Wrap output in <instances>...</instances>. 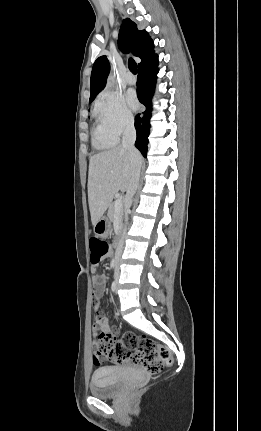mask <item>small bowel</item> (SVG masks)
Returning <instances> with one entry per match:
<instances>
[{
    "label": "small bowel",
    "instance_id": "obj_1",
    "mask_svg": "<svg viewBox=\"0 0 261 431\" xmlns=\"http://www.w3.org/2000/svg\"><path fill=\"white\" fill-rule=\"evenodd\" d=\"M106 277L102 272H96L93 277V283L95 289L92 291L93 298L91 299V304L95 306V311L92 313L94 317L93 323V332L94 333H112L114 334L115 330L111 328L109 325L108 319L104 317V312H100V305L102 304V296L104 292ZM95 361H100L99 358L95 359Z\"/></svg>",
    "mask_w": 261,
    "mask_h": 431
}]
</instances>
